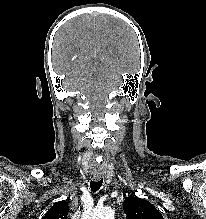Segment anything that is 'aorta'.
Returning <instances> with one entry per match:
<instances>
[{"label":"aorta","mask_w":206,"mask_h":219,"mask_svg":"<svg viewBox=\"0 0 206 219\" xmlns=\"http://www.w3.org/2000/svg\"><path fill=\"white\" fill-rule=\"evenodd\" d=\"M83 219H114V211L109 207L98 208L85 214Z\"/></svg>","instance_id":"1"}]
</instances>
